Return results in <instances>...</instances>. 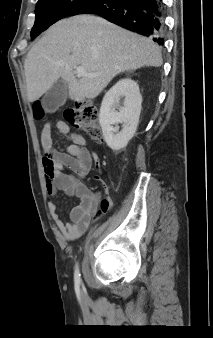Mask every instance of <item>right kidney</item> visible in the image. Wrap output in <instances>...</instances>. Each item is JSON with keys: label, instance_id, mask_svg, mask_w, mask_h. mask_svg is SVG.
I'll return each instance as SVG.
<instances>
[{"label": "right kidney", "instance_id": "1", "mask_svg": "<svg viewBox=\"0 0 213 338\" xmlns=\"http://www.w3.org/2000/svg\"><path fill=\"white\" fill-rule=\"evenodd\" d=\"M122 98L124 99L121 103ZM141 103L139 86L129 78L118 81L105 94L100 107L99 123L104 139L111 149L124 148L134 136L139 123ZM119 123L122 124L121 131L119 127L113 126Z\"/></svg>", "mask_w": 213, "mask_h": 338}]
</instances>
